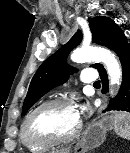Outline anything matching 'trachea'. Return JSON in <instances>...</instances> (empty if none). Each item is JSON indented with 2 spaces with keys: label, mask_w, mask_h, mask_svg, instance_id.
Segmentation results:
<instances>
[{
  "label": "trachea",
  "mask_w": 130,
  "mask_h": 153,
  "mask_svg": "<svg viewBox=\"0 0 130 153\" xmlns=\"http://www.w3.org/2000/svg\"><path fill=\"white\" fill-rule=\"evenodd\" d=\"M93 85L94 86H100V81H96Z\"/></svg>",
  "instance_id": "obj_1"
}]
</instances>
